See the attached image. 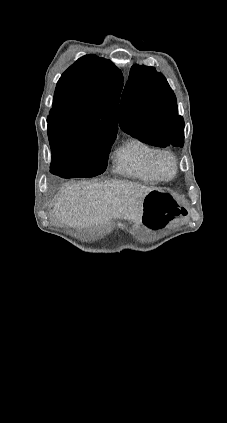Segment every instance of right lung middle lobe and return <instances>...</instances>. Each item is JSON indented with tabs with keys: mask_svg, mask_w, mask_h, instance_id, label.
Segmentation results:
<instances>
[{
	"mask_svg": "<svg viewBox=\"0 0 227 423\" xmlns=\"http://www.w3.org/2000/svg\"><path fill=\"white\" fill-rule=\"evenodd\" d=\"M116 136L98 138L71 137L50 141L52 163L73 167L70 178H89L103 173Z\"/></svg>",
	"mask_w": 227,
	"mask_h": 423,
	"instance_id": "1",
	"label": "right lung middle lobe"
}]
</instances>
